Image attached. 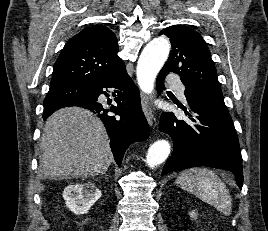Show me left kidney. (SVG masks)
Instances as JSON below:
<instances>
[{
  "instance_id": "1",
  "label": "left kidney",
  "mask_w": 268,
  "mask_h": 231,
  "mask_svg": "<svg viewBox=\"0 0 268 231\" xmlns=\"http://www.w3.org/2000/svg\"><path fill=\"white\" fill-rule=\"evenodd\" d=\"M189 215H190V217L193 218V219H196V218H197V213L195 212V210L192 211V212H189Z\"/></svg>"
}]
</instances>
